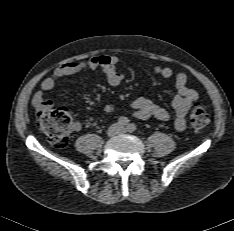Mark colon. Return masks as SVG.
Here are the masks:
<instances>
[{"mask_svg":"<svg viewBox=\"0 0 234 231\" xmlns=\"http://www.w3.org/2000/svg\"><path fill=\"white\" fill-rule=\"evenodd\" d=\"M190 123L195 129H203L210 122V116L203 106H194L189 114ZM39 128L46 134L51 145L63 148L67 145L72 127L71 113L67 108L59 107L52 110H42L37 116Z\"/></svg>","mask_w":234,"mask_h":231,"instance_id":"5ec220e1","label":"colon"}]
</instances>
